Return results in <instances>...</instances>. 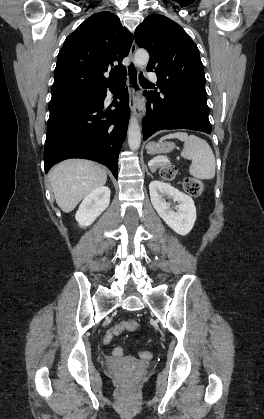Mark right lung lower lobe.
<instances>
[{"mask_svg":"<svg viewBox=\"0 0 264 419\" xmlns=\"http://www.w3.org/2000/svg\"><path fill=\"white\" fill-rule=\"evenodd\" d=\"M112 92L117 83L108 87ZM107 88L94 93L52 98L44 148V168L65 159L85 158L107 166L118 176V154L129 121L127 89L113 104L104 107Z\"/></svg>","mask_w":264,"mask_h":419,"instance_id":"98d812e1","label":"right lung lower lobe"}]
</instances>
